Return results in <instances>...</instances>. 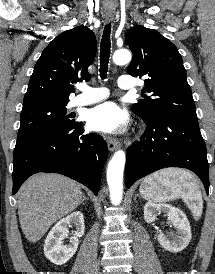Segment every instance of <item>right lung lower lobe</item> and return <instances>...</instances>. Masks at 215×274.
I'll return each mask as SVG.
<instances>
[{
  "label": "right lung lower lobe",
  "instance_id": "1",
  "mask_svg": "<svg viewBox=\"0 0 215 274\" xmlns=\"http://www.w3.org/2000/svg\"><path fill=\"white\" fill-rule=\"evenodd\" d=\"M108 148L98 135L84 133L82 122L43 137L14 156V195L22 183L38 172L60 173L97 195Z\"/></svg>",
  "mask_w": 215,
  "mask_h": 274
}]
</instances>
